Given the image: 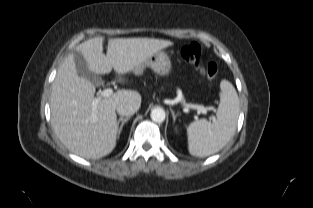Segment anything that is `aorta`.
I'll use <instances>...</instances> for the list:
<instances>
[{"mask_svg": "<svg viewBox=\"0 0 313 208\" xmlns=\"http://www.w3.org/2000/svg\"><path fill=\"white\" fill-rule=\"evenodd\" d=\"M151 119L156 123H161L165 120L166 114L163 108H154L150 113Z\"/></svg>", "mask_w": 313, "mask_h": 208, "instance_id": "762f6f07", "label": "aorta"}]
</instances>
